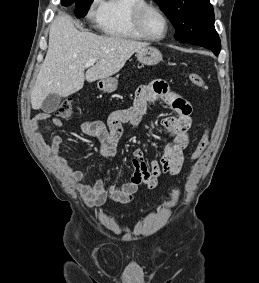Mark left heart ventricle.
<instances>
[{"label":"left heart ventricle","instance_id":"b2bd125f","mask_svg":"<svg viewBox=\"0 0 259 283\" xmlns=\"http://www.w3.org/2000/svg\"><path fill=\"white\" fill-rule=\"evenodd\" d=\"M146 27L153 37H162L166 32V23L156 12H149L146 16Z\"/></svg>","mask_w":259,"mask_h":283}]
</instances>
